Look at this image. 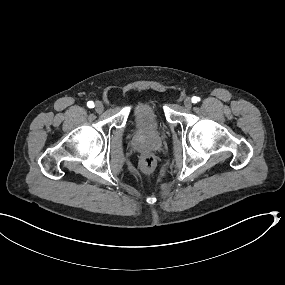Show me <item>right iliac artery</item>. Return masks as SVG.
Returning a JSON list of instances; mask_svg holds the SVG:
<instances>
[{
  "label": "right iliac artery",
  "mask_w": 285,
  "mask_h": 285,
  "mask_svg": "<svg viewBox=\"0 0 285 285\" xmlns=\"http://www.w3.org/2000/svg\"><path fill=\"white\" fill-rule=\"evenodd\" d=\"M87 106H88L89 108H93V107H94V102H93V101L87 102Z\"/></svg>",
  "instance_id": "1"
}]
</instances>
